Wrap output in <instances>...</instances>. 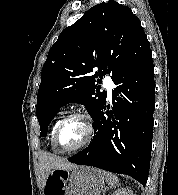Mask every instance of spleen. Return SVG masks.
Wrapping results in <instances>:
<instances>
[{
  "label": "spleen",
  "instance_id": "3e777b00",
  "mask_svg": "<svg viewBox=\"0 0 178 195\" xmlns=\"http://www.w3.org/2000/svg\"><path fill=\"white\" fill-rule=\"evenodd\" d=\"M105 178H106V182L110 185V186H116L119 182L118 177L115 176L114 174H111L109 172H104Z\"/></svg>",
  "mask_w": 178,
  "mask_h": 195
}]
</instances>
